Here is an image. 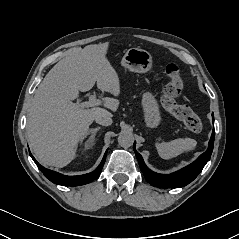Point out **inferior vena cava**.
I'll use <instances>...</instances> for the list:
<instances>
[{
    "instance_id": "1",
    "label": "inferior vena cava",
    "mask_w": 239,
    "mask_h": 239,
    "mask_svg": "<svg viewBox=\"0 0 239 239\" xmlns=\"http://www.w3.org/2000/svg\"><path fill=\"white\" fill-rule=\"evenodd\" d=\"M94 120L96 121V123L103 126H109L112 124L111 113L107 110H102L97 113L94 117Z\"/></svg>"
}]
</instances>
